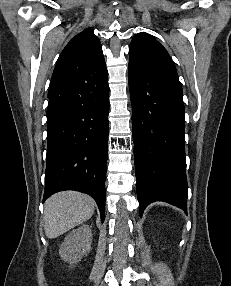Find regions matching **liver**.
Returning a JSON list of instances; mask_svg holds the SVG:
<instances>
[{
    "label": "liver",
    "instance_id": "liver-1",
    "mask_svg": "<svg viewBox=\"0 0 231 286\" xmlns=\"http://www.w3.org/2000/svg\"><path fill=\"white\" fill-rule=\"evenodd\" d=\"M95 201L76 191H63L49 197L44 205V230L56 238L91 218Z\"/></svg>",
    "mask_w": 231,
    "mask_h": 286
}]
</instances>
